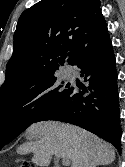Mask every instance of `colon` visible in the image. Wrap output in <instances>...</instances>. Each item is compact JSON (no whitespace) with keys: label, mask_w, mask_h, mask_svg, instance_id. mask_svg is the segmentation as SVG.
Here are the masks:
<instances>
[{"label":"colon","mask_w":125,"mask_h":167,"mask_svg":"<svg viewBox=\"0 0 125 167\" xmlns=\"http://www.w3.org/2000/svg\"><path fill=\"white\" fill-rule=\"evenodd\" d=\"M18 167H35L33 163L24 161Z\"/></svg>","instance_id":"obj_1"}]
</instances>
